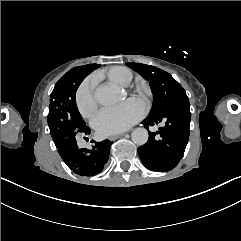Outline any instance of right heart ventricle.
Returning <instances> with one entry per match:
<instances>
[{
    "label": "right heart ventricle",
    "instance_id": "obj_1",
    "mask_svg": "<svg viewBox=\"0 0 241 241\" xmlns=\"http://www.w3.org/2000/svg\"><path fill=\"white\" fill-rule=\"evenodd\" d=\"M108 77L117 84L128 85L133 78V74L131 70L126 67L114 66L109 69ZM87 86L90 88L89 85Z\"/></svg>",
    "mask_w": 241,
    "mask_h": 241
}]
</instances>
